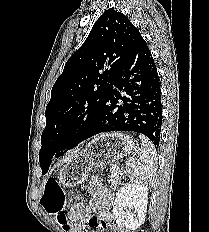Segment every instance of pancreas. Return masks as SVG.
<instances>
[{"label":"pancreas","mask_w":209,"mask_h":232,"mask_svg":"<svg viewBox=\"0 0 209 232\" xmlns=\"http://www.w3.org/2000/svg\"><path fill=\"white\" fill-rule=\"evenodd\" d=\"M123 171L119 168L111 169L110 175L108 177V182L111 184L112 189H116L120 183V180L122 178Z\"/></svg>","instance_id":"pancreas-1"}]
</instances>
